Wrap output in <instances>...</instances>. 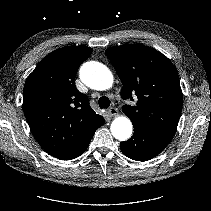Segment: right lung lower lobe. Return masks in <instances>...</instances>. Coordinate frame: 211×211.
<instances>
[{"instance_id":"98d812e1","label":"right lung lower lobe","mask_w":211,"mask_h":211,"mask_svg":"<svg viewBox=\"0 0 211 211\" xmlns=\"http://www.w3.org/2000/svg\"><path fill=\"white\" fill-rule=\"evenodd\" d=\"M103 125V124H102ZM96 131V130H95ZM95 132H93L87 139H85L84 141H82L81 143H79L76 147H74L72 150L68 151L67 153L57 157L60 160H71L74 159L78 156H80L81 154L84 153V151L87 149L91 138L93 137Z\"/></svg>"}]
</instances>
